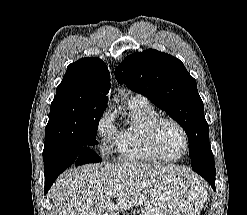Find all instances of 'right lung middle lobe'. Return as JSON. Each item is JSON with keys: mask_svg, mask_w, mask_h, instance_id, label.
Listing matches in <instances>:
<instances>
[{"mask_svg": "<svg viewBox=\"0 0 247 215\" xmlns=\"http://www.w3.org/2000/svg\"><path fill=\"white\" fill-rule=\"evenodd\" d=\"M105 107L68 90L56 92L45 130L43 153L63 143H76L80 147L96 145V129Z\"/></svg>", "mask_w": 247, "mask_h": 215, "instance_id": "right-lung-middle-lobe-1", "label": "right lung middle lobe"}]
</instances>
